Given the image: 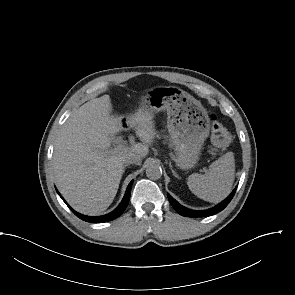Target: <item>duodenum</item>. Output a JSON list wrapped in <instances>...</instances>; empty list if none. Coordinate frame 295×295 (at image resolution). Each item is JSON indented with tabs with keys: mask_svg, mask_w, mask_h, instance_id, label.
<instances>
[{
	"mask_svg": "<svg viewBox=\"0 0 295 295\" xmlns=\"http://www.w3.org/2000/svg\"><path fill=\"white\" fill-rule=\"evenodd\" d=\"M127 127V123L125 121L121 122V128L125 129Z\"/></svg>",
	"mask_w": 295,
	"mask_h": 295,
	"instance_id": "410a0bca",
	"label": "duodenum"
}]
</instances>
